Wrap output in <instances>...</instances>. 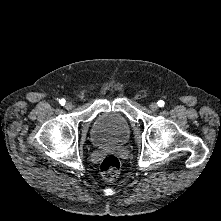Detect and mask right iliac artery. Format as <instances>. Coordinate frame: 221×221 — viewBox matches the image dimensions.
I'll return each instance as SVG.
<instances>
[{"label":"right iliac artery","instance_id":"1","mask_svg":"<svg viewBox=\"0 0 221 221\" xmlns=\"http://www.w3.org/2000/svg\"><path fill=\"white\" fill-rule=\"evenodd\" d=\"M65 100L64 99H61L60 101H59V103L63 106V105H65Z\"/></svg>","mask_w":221,"mask_h":221}]
</instances>
